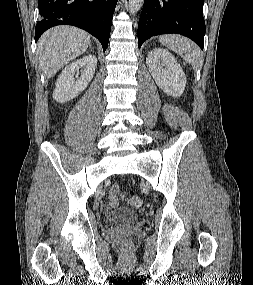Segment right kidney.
Listing matches in <instances>:
<instances>
[{
	"instance_id": "ca27d5eb",
	"label": "right kidney",
	"mask_w": 253,
	"mask_h": 285,
	"mask_svg": "<svg viewBox=\"0 0 253 285\" xmlns=\"http://www.w3.org/2000/svg\"><path fill=\"white\" fill-rule=\"evenodd\" d=\"M96 64L97 58L93 54L68 64L57 79L53 98L59 103H64L77 97L92 80Z\"/></svg>"
}]
</instances>
